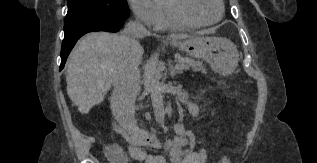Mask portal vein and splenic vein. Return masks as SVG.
Returning a JSON list of instances; mask_svg holds the SVG:
<instances>
[{
    "mask_svg": "<svg viewBox=\"0 0 317 163\" xmlns=\"http://www.w3.org/2000/svg\"><path fill=\"white\" fill-rule=\"evenodd\" d=\"M176 68L179 69V70H182V69H183V66L177 64V65H176Z\"/></svg>",
    "mask_w": 317,
    "mask_h": 163,
    "instance_id": "1",
    "label": "portal vein and splenic vein"
}]
</instances>
